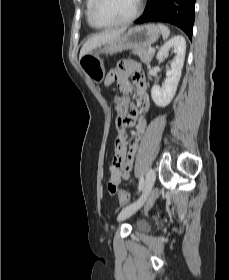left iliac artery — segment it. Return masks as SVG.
I'll return each instance as SVG.
<instances>
[{
	"label": "left iliac artery",
	"mask_w": 229,
	"mask_h": 280,
	"mask_svg": "<svg viewBox=\"0 0 229 280\" xmlns=\"http://www.w3.org/2000/svg\"><path fill=\"white\" fill-rule=\"evenodd\" d=\"M143 185H144V179H143V176H141L140 179H139V184H138V191L139 192L142 190Z\"/></svg>",
	"instance_id": "left-iliac-artery-1"
}]
</instances>
